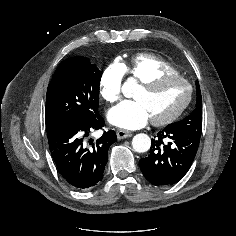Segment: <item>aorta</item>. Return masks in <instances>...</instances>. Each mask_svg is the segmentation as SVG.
Segmentation results:
<instances>
[{
	"label": "aorta",
	"instance_id": "obj_1",
	"mask_svg": "<svg viewBox=\"0 0 236 236\" xmlns=\"http://www.w3.org/2000/svg\"><path fill=\"white\" fill-rule=\"evenodd\" d=\"M132 147L136 152H147L151 147V139L147 134H137L133 137Z\"/></svg>",
	"mask_w": 236,
	"mask_h": 236
}]
</instances>
